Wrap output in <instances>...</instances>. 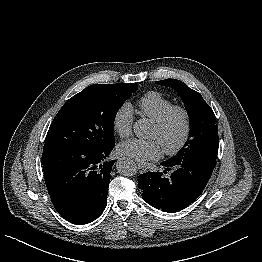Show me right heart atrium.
<instances>
[{
    "label": "right heart atrium",
    "instance_id": "right-heart-atrium-1",
    "mask_svg": "<svg viewBox=\"0 0 262 262\" xmlns=\"http://www.w3.org/2000/svg\"><path fill=\"white\" fill-rule=\"evenodd\" d=\"M134 123L133 109L129 104L121 105L115 112L112 120L114 132L121 138L132 133Z\"/></svg>",
    "mask_w": 262,
    "mask_h": 262
}]
</instances>
